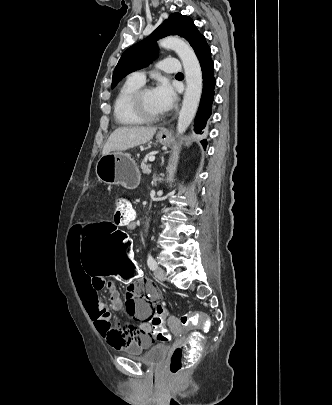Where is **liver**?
Segmentation results:
<instances>
[{"mask_svg":"<svg viewBox=\"0 0 332 405\" xmlns=\"http://www.w3.org/2000/svg\"><path fill=\"white\" fill-rule=\"evenodd\" d=\"M157 128L133 126V127H120L112 132L106 141L102 155H106L112 151H123L130 148L145 144L149 142Z\"/></svg>","mask_w":332,"mask_h":405,"instance_id":"6515ba94","label":"liver"}]
</instances>
